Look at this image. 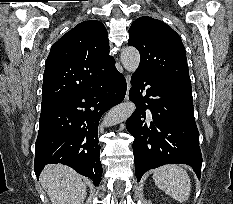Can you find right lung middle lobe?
I'll return each mask as SVG.
<instances>
[{"mask_svg": "<svg viewBox=\"0 0 233 204\" xmlns=\"http://www.w3.org/2000/svg\"><path fill=\"white\" fill-rule=\"evenodd\" d=\"M57 103L55 104H42V109H41V113L51 109L52 107H54Z\"/></svg>", "mask_w": 233, "mask_h": 204, "instance_id": "obj_1", "label": "right lung middle lobe"}]
</instances>
